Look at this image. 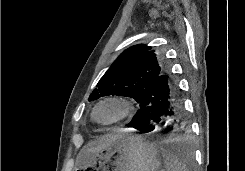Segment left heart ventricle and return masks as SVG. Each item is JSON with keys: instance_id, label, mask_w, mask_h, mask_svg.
<instances>
[{"instance_id": "left-heart-ventricle-1", "label": "left heart ventricle", "mask_w": 245, "mask_h": 171, "mask_svg": "<svg viewBox=\"0 0 245 171\" xmlns=\"http://www.w3.org/2000/svg\"><path fill=\"white\" fill-rule=\"evenodd\" d=\"M121 107L115 103H106L99 107L97 117L102 121H110L117 118L121 113Z\"/></svg>"}]
</instances>
